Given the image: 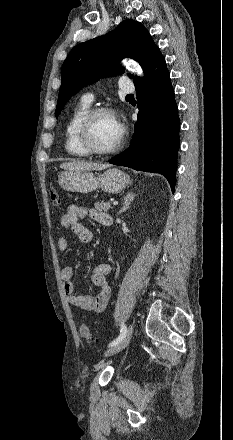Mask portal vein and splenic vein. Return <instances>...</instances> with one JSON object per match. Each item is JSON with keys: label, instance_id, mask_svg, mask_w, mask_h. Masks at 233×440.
Listing matches in <instances>:
<instances>
[{"label": "portal vein and splenic vein", "instance_id": "18ae733b", "mask_svg": "<svg viewBox=\"0 0 233 440\" xmlns=\"http://www.w3.org/2000/svg\"><path fill=\"white\" fill-rule=\"evenodd\" d=\"M113 205H118V202H117V201H114V202H113Z\"/></svg>", "mask_w": 233, "mask_h": 440}]
</instances>
